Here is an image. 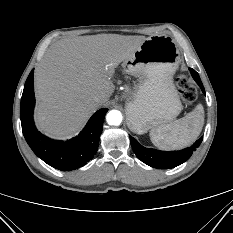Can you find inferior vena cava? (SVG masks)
Here are the masks:
<instances>
[{"label":"inferior vena cava","mask_w":233,"mask_h":233,"mask_svg":"<svg viewBox=\"0 0 233 233\" xmlns=\"http://www.w3.org/2000/svg\"><path fill=\"white\" fill-rule=\"evenodd\" d=\"M102 98H103V95H97V96L95 97L96 100H100V99H102Z\"/></svg>","instance_id":"inferior-vena-cava-1"}]
</instances>
